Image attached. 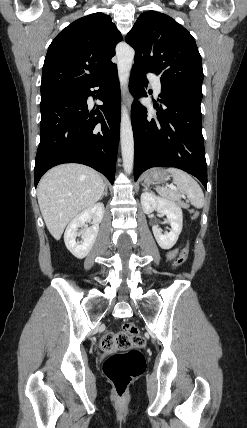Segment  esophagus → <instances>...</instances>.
I'll list each match as a JSON object with an SVG mask.
<instances>
[{
  "instance_id": "1",
  "label": "esophagus",
  "mask_w": 247,
  "mask_h": 428,
  "mask_svg": "<svg viewBox=\"0 0 247 428\" xmlns=\"http://www.w3.org/2000/svg\"><path fill=\"white\" fill-rule=\"evenodd\" d=\"M126 102H127L128 107L130 108L131 107V96L129 94L128 89H126Z\"/></svg>"
}]
</instances>
